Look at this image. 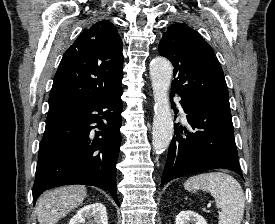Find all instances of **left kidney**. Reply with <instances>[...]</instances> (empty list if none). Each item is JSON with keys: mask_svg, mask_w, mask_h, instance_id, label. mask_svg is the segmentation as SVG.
Returning a JSON list of instances; mask_svg holds the SVG:
<instances>
[{"mask_svg": "<svg viewBox=\"0 0 275 224\" xmlns=\"http://www.w3.org/2000/svg\"><path fill=\"white\" fill-rule=\"evenodd\" d=\"M175 224H207V222L193 211H181L176 216Z\"/></svg>", "mask_w": 275, "mask_h": 224, "instance_id": "left-kidney-1", "label": "left kidney"}]
</instances>
